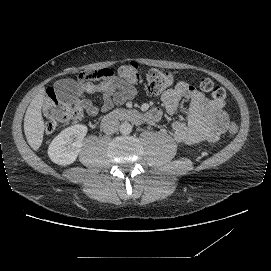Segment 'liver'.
I'll return each instance as SVG.
<instances>
[{"instance_id": "6515ba94", "label": "liver", "mask_w": 271, "mask_h": 271, "mask_svg": "<svg viewBox=\"0 0 271 271\" xmlns=\"http://www.w3.org/2000/svg\"><path fill=\"white\" fill-rule=\"evenodd\" d=\"M45 88H41L39 93L30 102L24 117V133L30 147L37 151L44 136L45 125L41 113L44 103Z\"/></svg>"}]
</instances>
